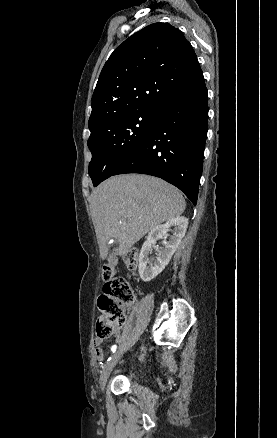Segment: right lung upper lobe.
<instances>
[{"mask_svg": "<svg viewBox=\"0 0 277 438\" xmlns=\"http://www.w3.org/2000/svg\"><path fill=\"white\" fill-rule=\"evenodd\" d=\"M202 76L182 32L167 23L151 24L126 39L105 63L92 96L89 127L114 116L158 109L162 100Z\"/></svg>", "mask_w": 277, "mask_h": 438, "instance_id": "cb5924a9", "label": "right lung upper lobe"}]
</instances>
